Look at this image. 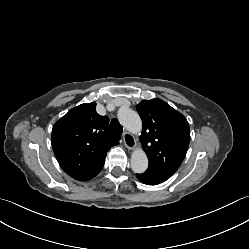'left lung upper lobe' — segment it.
Returning <instances> with one entry per match:
<instances>
[{
    "instance_id": "left-lung-upper-lobe-1",
    "label": "left lung upper lobe",
    "mask_w": 249,
    "mask_h": 249,
    "mask_svg": "<svg viewBox=\"0 0 249 249\" xmlns=\"http://www.w3.org/2000/svg\"><path fill=\"white\" fill-rule=\"evenodd\" d=\"M143 129L140 142L149 159L148 169L172 176L181 165L190 141L186 118L160 99L137 105Z\"/></svg>"
}]
</instances>
